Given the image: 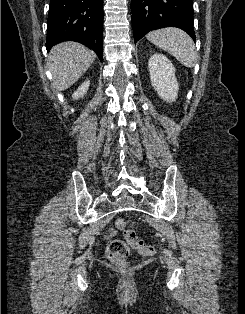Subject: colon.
<instances>
[{
	"label": "colon",
	"instance_id": "obj_1",
	"mask_svg": "<svg viewBox=\"0 0 245 314\" xmlns=\"http://www.w3.org/2000/svg\"><path fill=\"white\" fill-rule=\"evenodd\" d=\"M116 226L123 231L126 241L115 239L107 246V256L115 263H123L130 255V248L136 249L142 255H154L156 247L149 245L144 241L138 239L133 225L124 218H118Z\"/></svg>",
	"mask_w": 245,
	"mask_h": 314
}]
</instances>
